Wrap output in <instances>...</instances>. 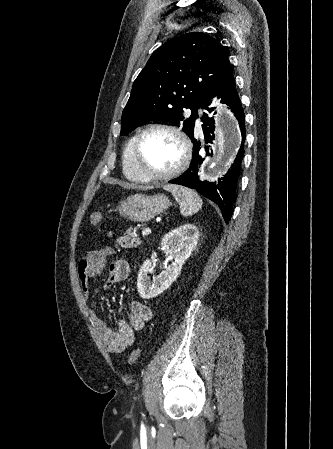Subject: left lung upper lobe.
Masks as SVG:
<instances>
[{
  "label": "left lung upper lobe",
  "mask_w": 333,
  "mask_h": 449,
  "mask_svg": "<svg viewBox=\"0 0 333 449\" xmlns=\"http://www.w3.org/2000/svg\"><path fill=\"white\" fill-rule=\"evenodd\" d=\"M232 75L219 41L202 32L174 38L153 52L136 78L121 118V135L152 120L182 125L194 137L199 107L205 108ZM190 108L191 115L183 110Z\"/></svg>",
  "instance_id": "1"
}]
</instances>
